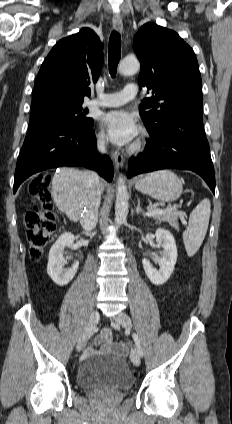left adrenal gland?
<instances>
[{
  "mask_svg": "<svg viewBox=\"0 0 232 424\" xmlns=\"http://www.w3.org/2000/svg\"><path fill=\"white\" fill-rule=\"evenodd\" d=\"M136 214H141L143 217H146L145 212L142 210L141 206H140V199H138V204L136 207Z\"/></svg>",
  "mask_w": 232,
  "mask_h": 424,
  "instance_id": "obj_1",
  "label": "left adrenal gland"
}]
</instances>
